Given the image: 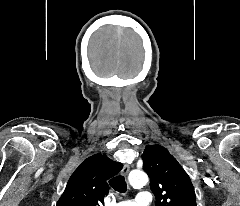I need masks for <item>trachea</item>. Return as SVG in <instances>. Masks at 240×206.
Wrapping results in <instances>:
<instances>
[{
    "instance_id": "obj_1",
    "label": "trachea",
    "mask_w": 240,
    "mask_h": 206,
    "mask_svg": "<svg viewBox=\"0 0 240 206\" xmlns=\"http://www.w3.org/2000/svg\"><path fill=\"white\" fill-rule=\"evenodd\" d=\"M110 186L119 193H124L127 189V184L123 176H116L109 181Z\"/></svg>"
}]
</instances>
